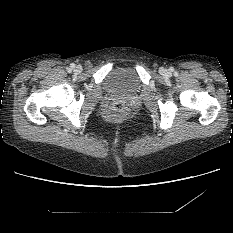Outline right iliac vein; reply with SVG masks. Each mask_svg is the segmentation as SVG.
<instances>
[{"label": "right iliac vein", "mask_w": 233, "mask_h": 233, "mask_svg": "<svg viewBox=\"0 0 233 233\" xmlns=\"http://www.w3.org/2000/svg\"><path fill=\"white\" fill-rule=\"evenodd\" d=\"M75 71L76 72H81L82 71V67L80 65H78L76 68H75Z\"/></svg>", "instance_id": "obj_1"}]
</instances>
